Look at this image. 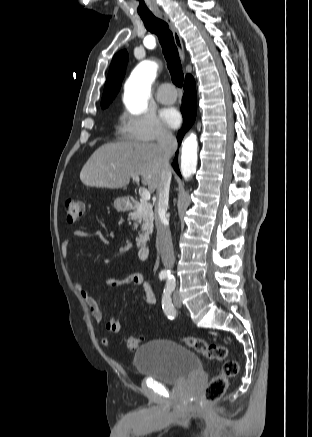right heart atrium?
Wrapping results in <instances>:
<instances>
[{
  "mask_svg": "<svg viewBox=\"0 0 312 437\" xmlns=\"http://www.w3.org/2000/svg\"><path fill=\"white\" fill-rule=\"evenodd\" d=\"M117 134L121 140L141 143L166 141L172 138L171 132L152 112L141 114L123 112L118 119Z\"/></svg>",
  "mask_w": 312,
  "mask_h": 437,
  "instance_id": "obj_1",
  "label": "right heart atrium"
}]
</instances>
